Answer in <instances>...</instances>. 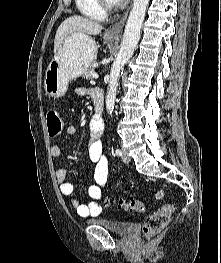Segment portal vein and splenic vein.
<instances>
[{
	"instance_id": "1",
	"label": "portal vein and splenic vein",
	"mask_w": 221,
	"mask_h": 263,
	"mask_svg": "<svg viewBox=\"0 0 221 263\" xmlns=\"http://www.w3.org/2000/svg\"><path fill=\"white\" fill-rule=\"evenodd\" d=\"M98 77H99V76H98L97 73H93V74H92V78H93V79H98Z\"/></svg>"
}]
</instances>
